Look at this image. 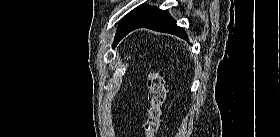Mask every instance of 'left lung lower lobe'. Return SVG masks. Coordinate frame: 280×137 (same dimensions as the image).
Here are the masks:
<instances>
[{
  "label": "left lung lower lobe",
  "instance_id": "1",
  "mask_svg": "<svg viewBox=\"0 0 280 137\" xmlns=\"http://www.w3.org/2000/svg\"><path fill=\"white\" fill-rule=\"evenodd\" d=\"M138 28H148L187 39L184 29L176 25V21L170 16V14L166 10H161L156 7L140 21L132 25L126 31L124 36Z\"/></svg>",
  "mask_w": 280,
  "mask_h": 137
}]
</instances>
